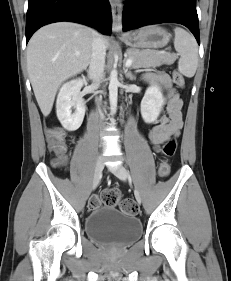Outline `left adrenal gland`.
Segmentation results:
<instances>
[{"mask_svg": "<svg viewBox=\"0 0 231 281\" xmlns=\"http://www.w3.org/2000/svg\"><path fill=\"white\" fill-rule=\"evenodd\" d=\"M124 74L129 80L136 79L135 75L127 67H124Z\"/></svg>", "mask_w": 231, "mask_h": 281, "instance_id": "1", "label": "left adrenal gland"}]
</instances>
